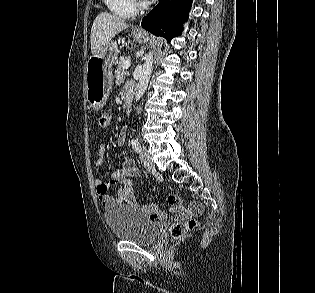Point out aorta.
<instances>
[{
  "instance_id": "762f6f07",
  "label": "aorta",
  "mask_w": 315,
  "mask_h": 293,
  "mask_svg": "<svg viewBox=\"0 0 315 293\" xmlns=\"http://www.w3.org/2000/svg\"><path fill=\"white\" fill-rule=\"evenodd\" d=\"M153 69V52L150 51L144 58V64L142 68V74L137 86L136 101H138L144 94L150 79V75Z\"/></svg>"
}]
</instances>
